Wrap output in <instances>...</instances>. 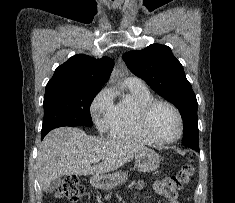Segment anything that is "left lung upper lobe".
<instances>
[{
    "label": "left lung upper lobe",
    "mask_w": 235,
    "mask_h": 203,
    "mask_svg": "<svg viewBox=\"0 0 235 203\" xmlns=\"http://www.w3.org/2000/svg\"><path fill=\"white\" fill-rule=\"evenodd\" d=\"M123 60L132 73L178 108L184 130H189L194 135V147L190 148H199L196 96L181 63L174 57L171 49L165 45L152 44L140 51L126 52Z\"/></svg>",
    "instance_id": "obj_1"
}]
</instances>
